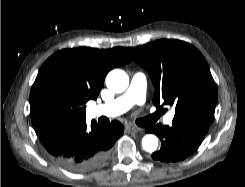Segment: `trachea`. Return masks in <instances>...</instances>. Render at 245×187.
<instances>
[{
    "mask_svg": "<svg viewBox=\"0 0 245 187\" xmlns=\"http://www.w3.org/2000/svg\"><path fill=\"white\" fill-rule=\"evenodd\" d=\"M154 118H155V115L147 117V118H144V119H141V120L138 121V124L140 126L149 125L150 123H152L154 121Z\"/></svg>",
    "mask_w": 245,
    "mask_h": 187,
    "instance_id": "3493384b",
    "label": "trachea"
}]
</instances>
